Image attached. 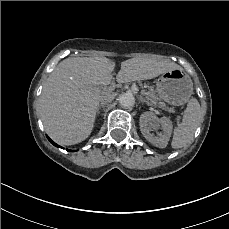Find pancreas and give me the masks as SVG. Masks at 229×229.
<instances>
[{"label":"pancreas","instance_id":"1","mask_svg":"<svg viewBox=\"0 0 229 229\" xmlns=\"http://www.w3.org/2000/svg\"><path fill=\"white\" fill-rule=\"evenodd\" d=\"M144 88L147 90H142L141 94L146 95V103L148 105H155L158 106L159 108H166V104L161 101V99L158 97L156 94L154 88L152 86H149L147 84L144 85ZM169 112H175L173 108H166Z\"/></svg>","mask_w":229,"mask_h":229}]
</instances>
